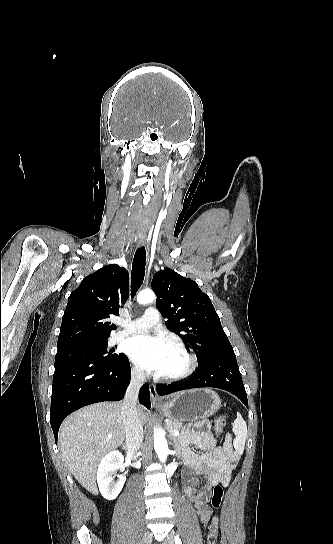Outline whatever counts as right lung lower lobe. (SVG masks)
Wrapping results in <instances>:
<instances>
[{
  "mask_svg": "<svg viewBox=\"0 0 333 544\" xmlns=\"http://www.w3.org/2000/svg\"><path fill=\"white\" fill-rule=\"evenodd\" d=\"M131 368L126 355L108 362L97 359L79 344L58 349L55 357L50 423L57 442L62 421L73 411L102 401H119L130 384ZM139 401L150 409L149 386L144 384Z\"/></svg>",
  "mask_w": 333,
  "mask_h": 544,
  "instance_id": "98d812e1",
  "label": "right lung lower lobe"
}]
</instances>
